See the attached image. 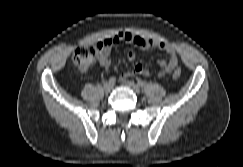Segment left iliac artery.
I'll list each match as a JSON object with an SVG mask.
<instances>
[{
    "mask_svg": "<svg viewBox=\"0 0 243 167\" xmlns=\"http://www.w3.org/2000/svg\"><path fill=\"white\" fill-rule=\"evenodd\" d=\"M137 84H138L140 87H144V86H145V82L142 81V80H138Z\"/></svg>",
    "mask_w": 243,
    "mask_h": 167,
    "instance_id": "44dca946",
    "label": "left iliac artery"
}]
</instances>
